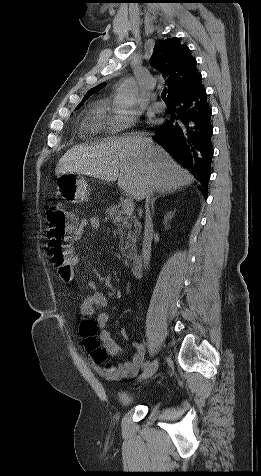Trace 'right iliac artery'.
Masks as SVG:
<instances>
[{
    "label": "right iliac artery",
    "instance_id": "obj_1",
    "mask_svg": "<svg viewBox=\"0 0 261 476\" xmlns=\"http://www.w3.org/2000/svg\"><path fill=\"white\" fill-rule=\"evenodd\" d=\"M149 366V361L145 362L144 365H143V368H147Z\"/></svg>",
    "mask_w": 261,
    "mask_h": 476
}]
</instances>
